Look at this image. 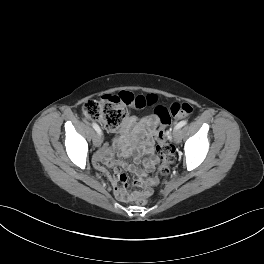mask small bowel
<instances>
[{"mask_svg": "<svg viewBox=\"0 0 264 264\" xmlns=\"http://www.w3.org/2000/svg\"><path fill=\"white\" fill-rule=\"evenodd\" d=\"M156 118L154 116H144L137 118L129 116L125 120L124 128L120 134L114 138L111 145L104 146L94 158L98 170L104 171L103 164L108 165L113 171V192L123 200H132V191L127 184V176L122 170L136 173L141 178L146 172L151 171L156 163L155 153V127ZM119 147L120 156L127 157L132 154L136 164L141 162V156L147 154L148 158L143 162V169L134 164H129L123 160L113 159V147Z\"/></svg>", "mask_w": 264, "mask_h": 264, "instance_id": "small-bowel-1", "label": "small bowel"}]
</instances>
